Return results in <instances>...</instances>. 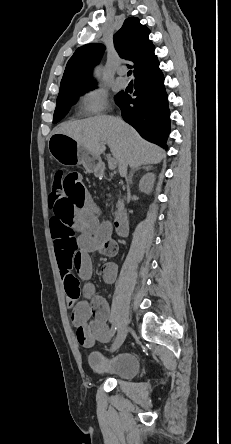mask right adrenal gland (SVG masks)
<instances>
[{
  "mask_svg": "<svg viewBox=\"0 0 231 444\" xmlns=\"http://www.w3.org/2000/svg\"><path fill=\"white\" fill-rule=\"evenodd\" d=\"M141 169H143L145 171H149V170H151V166L150 165H143V166H139L137 168H133L131 170V173H130L129 178H128V183L129 184H132V177H133L134 173L139 171V170H141Z\"/></svg>",
  "mask_w": 231,
  "mask_h": 444,
  "instance_id": "obj_1",
  "label": "right adrenal gland"
}]
</instances>
